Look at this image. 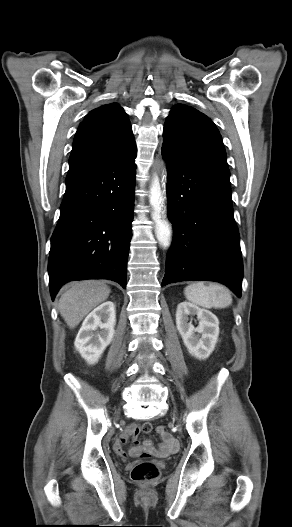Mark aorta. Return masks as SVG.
Masks as SVG:
<instances>
[{
  "label": "aorta",
  "mask_w": 292,
  "mask_h": 527,
  "mask_svg": "<svg viewBox=\"0 0 292 527\" xmlns=\"http://www.w3.org/2000/svg\"><path fill=\"white\" fill-rule=\"evenodd\" d=\"M157 233L162 241V244L164 246L169 245L171 234L170 228L166 224L160 223L157 227Z\"/></svg>",
  "instance_id": "aorta-1"
}]
</instances>
